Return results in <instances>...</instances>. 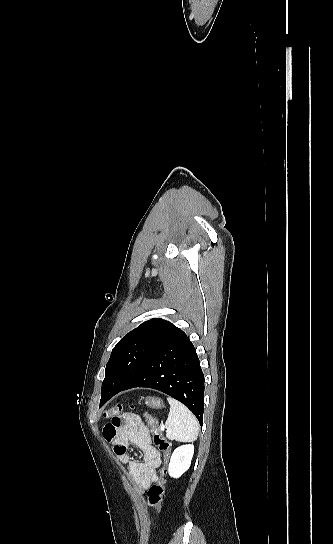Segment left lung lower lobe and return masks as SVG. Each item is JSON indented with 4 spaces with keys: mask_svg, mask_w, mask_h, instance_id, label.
Segmentation results:
<instances>
[{
    "mask_svg": "<svg viewBox=\"0 0 333 544\" xmlns=\"http://www.w3.org/2000/svg\"><path fill=\"white\" fill-rule=\"evenodd\" d=\"M134 387L153 388L177 399L194 413L202 426L204 375L196 350L182 330L124 387L114 392H101L100 407L117 393Z\"/></svg>",
    "mask_w": 333,
    "mask_h": 544,
    "instance_id": "left-lung-lower-lobe-1",
    "label": "left lung lower lobe"
}]
</instances>
